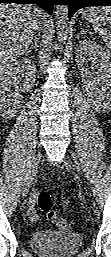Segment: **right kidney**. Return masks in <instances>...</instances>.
<instances>
[{
  "label": "right kidney",
  "instance_id": "ca27d5eb",
  "mask_svg": "<svg viewBox=\"0 0 111 257\" xmlns=\"http://www.w3.org/2000/svg\"><path fill=\"white\" fill-rule=\"evenodd\" d=\"M36 66L30 59H23L3 68L1 71V110L6 116L14 117L21 107L22 92L28 91L34 83ZM15 88H12V87Z\"/></svg>",
  "mask_w": 111,
  "mask_h": 257
}]
</instances>
